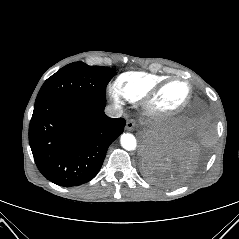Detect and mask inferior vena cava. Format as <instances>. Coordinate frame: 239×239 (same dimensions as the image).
Wrapping results in <instances>:
<instances>
[{"label":"inferior vena cava","instance_id":"602c4592","mask_svg":"<svg viewBox=\"0 0 239 239\" xmlns=\"http://www.w3.org/2000/svg\"><path fill=\"white\" fill-rule=\"evenodd\" d=\"M105 114L111 118H119L123 114V109L118 105H108L105 108Z\"/></svg>","mask_w":239,"mask_h":239}]
</instances>
